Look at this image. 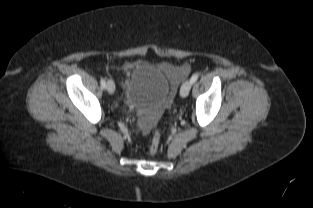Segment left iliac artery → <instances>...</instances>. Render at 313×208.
<instances>
[{
	"label": "left iliac artery",
	"instance_id": "1",
	"mask_svg": "<svg viewBox=\"0 0 313 208\" xmlns=\"http://www.w3.org/2000/svg\"><path fill=\"white\" fill-rule=\"evenodd\" d=\"M198 77H199L198 73L193 74L191 79H190L191 83L192 84L195 83L197 81Z\"/></svg>",
	"mask_w": 313,
	"mask_h": 208
}]
</instances>
